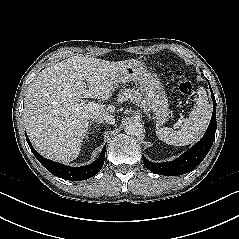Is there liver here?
<instances>
[{
  "label": "liver",
  "instance_id": "1",
  "mask_svg": "<svg viewBox=\"0 0 239 239\" xmlns=\"http://www.w3.org/2000/svg\"><path fill=\"white\" fill-rule=\"evenodd\" d=\"M127 62L72 56L37 75L27 92L23 118L31 143L41 155L63 163L77 158L89 120L114 112L113 108L85 109L81 99H110Z\"/></svg>",
  "mask_w": 239,
  "mask_h": 239
}]
</instances>
